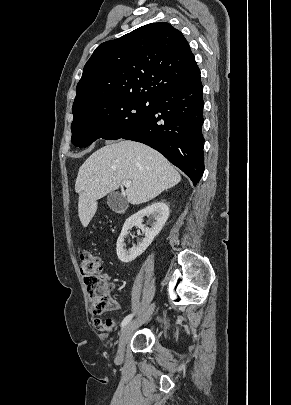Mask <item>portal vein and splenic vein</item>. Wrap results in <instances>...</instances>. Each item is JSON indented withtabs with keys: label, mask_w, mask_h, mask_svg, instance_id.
<instances>
[{
	"label": "portal vein and splenic vein",
	"mask_w": 291,
	"mask_h": 405,
	"mask_svg": "<svg viewBox=\"0 0 291 405\" xmlns=\"http://www.w3.org/2000/svg\"><path fill=\"white\" fill-rule=\"evenodd\" d=\"M123 185H124L126 188H128V187H130V186L132 185V183H131V181L127 180V181H124V182H123Z\"/></svg>",
	"instance_id": "obj_1"
}]
</instances>
